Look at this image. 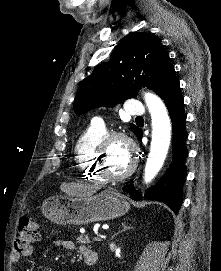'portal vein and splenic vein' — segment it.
I'll list each match as a JSON object with an SVG mask.
<instances>
[{"mask_svg": "<svg viewBox=\"0 0 221 271\" xmlns=\"http://www.w3.org/2000/svg\"><path fill=\"white\" fill-rule=\"evenodd\" d=\"M93 242H102L103 238L102 237H93Z\"/></svg>", "mask_w": 221, "mask_h": 271, "instance_id": "1", "label": "portal vein and splenic vein"}]
</instances>
